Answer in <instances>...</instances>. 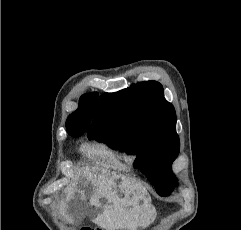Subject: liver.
Returning <instances> with one entry per match:
<instances>
[{"label":"liver","instance_id":"obj_1","mask_svg":"<svg viewBox=\"0 0 241 230\" xmlns=\"http://www.w3.org/2000/svg\"><path fill=\"white\" fill-rule=\"evenodd\" d=\"M83 171L93 185L89 204L94 207L90 216L95 215V224L105 230H136L138 226L147 227L154 221L151 199L140 183L104 168H84ZM74 191L75 186L67 188L68 200L73 198ZM80 200L84 201L85 196L82 195ZM102 200L106 203L102 204ZM65 218L68 223L73 222L68 212Z\"/></svg>","mask_w":241,"mask_h":230}]
</instances>
